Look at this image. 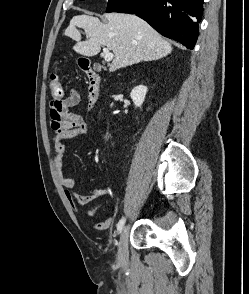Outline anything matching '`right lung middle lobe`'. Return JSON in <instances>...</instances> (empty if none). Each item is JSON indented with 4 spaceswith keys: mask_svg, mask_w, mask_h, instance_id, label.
I'll return each instance as SVG.
<instances>
[{
    "mask_svg": "<svg viewBox=\"0 0 249 294\" xmlns=\"http://www.w3.org/2000/svg\"><path fill=\"white\" fill-rule=\"evenodd\" d=\"M127 0H108L107 12H117V10L122 7Z\"/></svg>",
    "mask_w": 249,
    "mask_h": 294,
    "instance_id": "1",
    "label": "right lung middle lobe"
}]
</instances>
